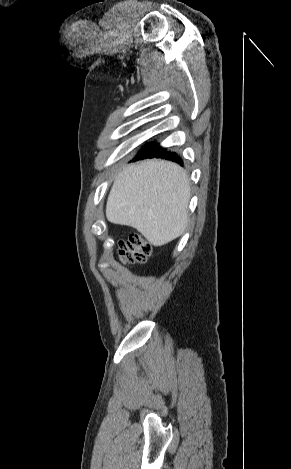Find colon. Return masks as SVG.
<instances>
[{
    "label": "colon",
    "mask_w": 291,
    "mask_h": 469,
    "mask_svg": "<svg viewBox=\"0 0 291 469\" xmlns=\"http://www.w3.org/2000/svg\"><path fill=\"white\" fill-rule=\"evenodd\" d=\"M151 254V245L140 235L130 236L119 245V255L126 263H144Z\"/></svg>",
    "instance_id": "1"
}]
</instances>
